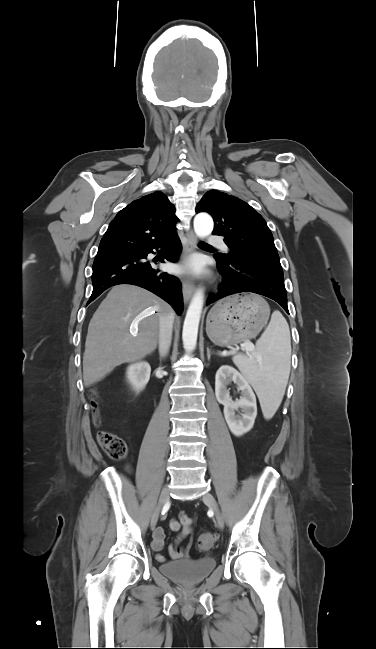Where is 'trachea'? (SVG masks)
Wrapping results in <instances>:
<instances>
[{
  "mask_svg": "<svg viewBox=\"0 0 376 649\" xmlns=\"http://www.w3.org/2000/svg\"><path fill=\"white\" fill-rule=\"evenodd\" d=\"M200 245H201V246H205V247H211L210 245H208V244H206V243H200Z\"/></svg>",
  "mask_w": 376,
  "mask_h": 649,
  "instance_id": "3493384b",
  "label": "trachea"
}]
</instances>
